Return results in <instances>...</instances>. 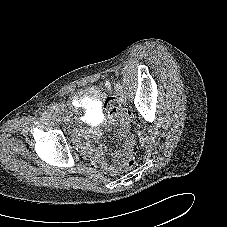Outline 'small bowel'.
I'll list each match as a JSON object with an SVG mask.
<instances>
[{
  "label": "small bowel",
  "instance_id": "1",
  "mask_svg": "<svg viewBox=\"0 0 227 227\" xmlns=\"http://www.w3.org/2000/svg\"><path fill=\"white\" fill-rule=\"evenodd\" d=\"M87 93L90 94V95H94V96L97 95V91H96V89L93 88V87H89L88 90H87ZM79 95H83V93L80 92ZM84 150H85L87 153H90V154L92 153V148H91V146H90L89 144H86V145L84 146ZM105 150H106V147L100 146L99 149H98V151H97V156H98L99 158H101V155H102V153H103ZM103 165H104V167H105L110 173H112V174H116V173H117V169H116V167H115L114 165H112V164H107V163L104 162V161H103Z\"/></svg>",
  "mask_w": 227,
  "mask_h": 227
}]
</instances>
